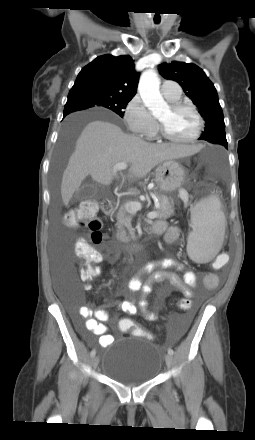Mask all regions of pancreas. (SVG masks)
Listing matches in <instances>:
<instances>
[{"mask_svg":"<svg viewBox=\"0 0 255 440\" xmlns=\"http://www.w3.org/2000/svg\"><path fill=\"white\" fill-rule=\"evenodd\" d=\"M159 208H158V219H168L174 214V203L172 200H169L166 196H159ZM117 239L122 242H129L132 237V231H129L127 234L125 227H130V222L132 219V215L126 210L125 205L120 206L117 215Z\"/></svg>","mask_w":255,"mask_h":440,"instance_id":"1","label":"pancreas"}]
</instances>
